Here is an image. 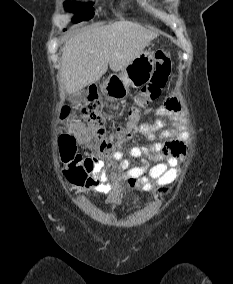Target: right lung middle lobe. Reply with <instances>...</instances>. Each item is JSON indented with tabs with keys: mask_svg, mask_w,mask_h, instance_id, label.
I'll list each match as a JSON object with an SVG mask.
<instances>
[{
	"mask_svg": "<svg viewBox=\"0 0 233 284\" xmlns=\"http://www.w3.org/2000/svg\"><path fill=\"white\" fill-rule=\"evenodd\" d=\"M92 5L93 3L81 5L74 1H66L64 3L65 9L67 11H74L76 13V15L72 19L74 23L92 19L94 16V9Z\"/></svg>",
	"mask_w": 233,
	"mask_h": 284,
	"instance_id": "1",
	"label": "right lung middle lobe"
}]
</instances>
